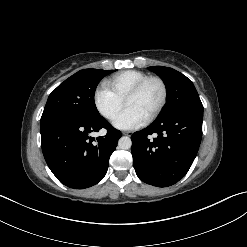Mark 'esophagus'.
I'll use <instances>...</instances> for the list:
<instances>
[{"mask_svg":"<svg viewBox=\"0 0 247 247\" xmlns=\"http://www.w3.org/2000/svg\"><path fill=\"white\" fill-rule=\"evenodd\" d=\"M122 134L123 135H127V136H131L132 135V132H130V131H124Z\"/></svg>","mask_w":247,"mask_h":247,"instance_id":"1","label":"esophagus"}]
</instances>
